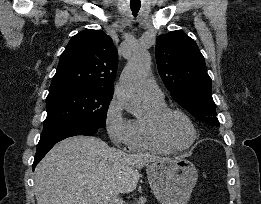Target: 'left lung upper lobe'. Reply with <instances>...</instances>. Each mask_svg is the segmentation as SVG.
<instances>
[{
  "mask_svg": "<svg viewBox=\"0 0 261 204\" xmlns=\"http://www.w3.org/2000/svg\"><path fill=\"white\" fill-rule=\"evenodd\" d=\"M159 74L173 99L195 118L219 126L205 59L195 41L176 30L156 39Z\"/></svg>",
  "mask_w": 261,
  "mask_h": 204,
  "instance_id": "1",
  "label": "left lung upper lobe"
}]
</instances>
